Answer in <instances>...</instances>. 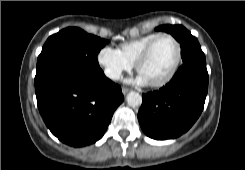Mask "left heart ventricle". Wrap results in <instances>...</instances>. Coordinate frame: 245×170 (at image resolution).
<instances>
[{"label": "left heart ventricle", "instance_id": "left-heart-ventricle-1", "mask_svg": "<svg viewBox=\"0 0 245 170\" xmlns=\"http://www.w3.org/2000/svg\"><path fill=\"white\" fill-rule=\"evenodd\" d=\"M177 55L174 42L163 37L154 45L149 57L140 67V75L147 82H155L162 79L172 68Z\"/></svg>", "mask_w": 245, "mask_h": 170}]
</instances>
